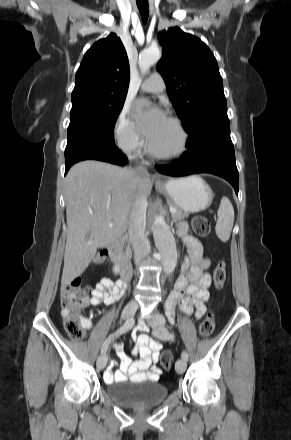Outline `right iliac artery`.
Instances as JSON below:
<instances>
[{
	"instance_id": "obj_1",
	"label": "right iliac artery",
	"mask_w": 291,
	"mask_h": 440,
	"mask_svg": "<svg viewBox=\"0 0 291 440\" xmlns=\"http://www.w3.org/2000/svg\"><path fill=\"white\" fill-rule=\"evenodd\" d=\"M133 325H134L133 318H128L126 320V322L120 327V329H118L114 334H112L111 336H109L105 340V342L103 343L102 348H101V353H105L107 351L108 346L114 337H117V336L127 332L129 329H131L133 327Z\"/></svg>"
}]
</instances>
